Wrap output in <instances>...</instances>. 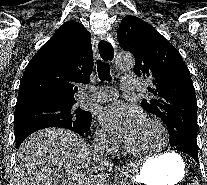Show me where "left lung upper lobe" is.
<instances>
[{"label": "left lung upper lobe", "mask_w": 207, "mask_h": 185, "mask_svg": "<svg viewBox=\"0 0 207 185\" xmlns=\"http://www.w3.org/2000/svg\"><path fill=\"white\" fill-rule=\"evenodd\" d=\"M117 39L134 55L135 74L152 83L147 89L153 98L142 100L143 109L165 123L173 148L198 152L195 89L179 51L152 25L131 15L122 19Z\"/></svg>", "instance_id": "obj_1"}]
</instances>
